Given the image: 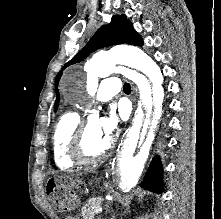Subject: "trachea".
<instances>
[{
    "instance_id": "trachea-1",
    "label": "trachea",
    "mask_w": 221,
    "mask_h": 219,
    "mask_svg": "<svg viewBox=\"0 0 221 219\" xmlns=\"http://www.w3.org/2000/svg\"><path fill=\"white\" fill-rule=\"evenodd\" d=\"M123 90H124V92L125 93H130L131 92V86H130V84L129 83H125L124 85H123Z\"/></svg>"
}]
</instances>
